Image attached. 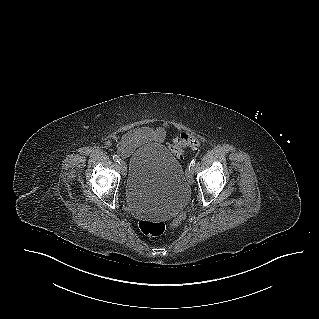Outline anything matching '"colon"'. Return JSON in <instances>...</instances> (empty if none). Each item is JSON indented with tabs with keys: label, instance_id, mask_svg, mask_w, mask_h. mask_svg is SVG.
<instances>
[{
	"label": "colon",
	"instance_id": "obj_1",
	"mask_svg": "<svg viewBox=\"0 0 319 319\" xmlns=\"http://www.w3.org/2000/svg\"><path fill=\"white\" fill-rule=\"evenodd\" d=\"M202 143L201 135L197 130L180 129L173 136L168 147L170 151L180 160L184 159V149L196 148ZM140 231L147 236H159L164 233L166 226L163 222L150 219H142L138 222Z\"/></svg>",
	"mask_w": 319,
	"mask_h": 319
}]
</instances>
